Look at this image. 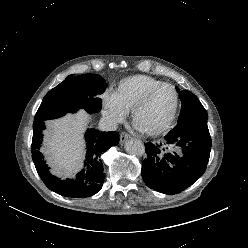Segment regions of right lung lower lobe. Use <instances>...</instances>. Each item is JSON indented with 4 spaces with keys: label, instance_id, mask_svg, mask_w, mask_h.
Here are the masks:
<instances>
[{
    "label": "right lung lower lobe",
    "instance_id": "right-lung-lower-lobe-1",
    "mask_svg": "<svg viewBox=\"0 0 248 248\" xmlns=\"http://www.w3.org/2000/svg\"><path fill=\"white\" fill-rule=\"evenodd\" d=\"M44 128V121L33 122L32 159L45 185L57 194L72 198L89 197L100 191L105 178L101 154L110 147L118 145V132L89 129L85 136L87 152L84 169L77 173L75 179L60 180L48 171L44 157L39 151Z\"/></svg>",
    "mask_w": 248,
    "mask_h": 248
}]
</instances>
